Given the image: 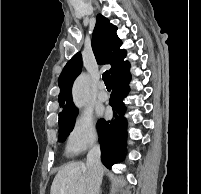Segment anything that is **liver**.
<instances>
[{
	"label": "liver",
	"instance_id": "6515ba94",
	"mask_svg": "<svg viewBox=\"0 0 201 194\" xmlns=\"http://www.w3.org/2000/svg\"><path fill=\"white\" fill-rule=\"evenodd\" d=\"M88 176L85 163H67L56 174L50 194H86Z\"/></svg>",
	"mask_w": 201,
	"mask_h": 194
}]
</instances>
